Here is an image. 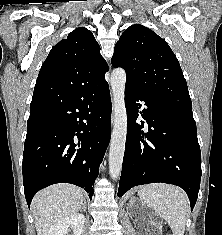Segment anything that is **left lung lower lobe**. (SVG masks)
Listing matches in <instances>:
<instances>
[{
  "label": "left lung lower lobe",
  "mask_w": 222,
  "mask_h": 235,
  "mask_svg": "<svg viewBox=\"0 0 222 235\" xmlns=\"http://www.w3.org/2000/svg\"><path fill=\"white\" fill-rule=\"evenodd\" d=\"M144 108L139 111L143 106ZM127 137L118 196L137 185L169 183L185 190L191 210L201 180V152L193 114L125 86ZM147 121L148 132L142 130Z\"/></svg>",
  "instance_id": "obj_1"
}]
</instances>
